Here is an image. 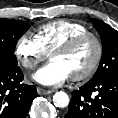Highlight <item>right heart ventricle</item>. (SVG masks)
<instances>
[{"label": "right heart ventricle", "instance_id": "right-heart-ventricle-1", "mask_svg": "<svg viewBox=\"0 0 118 118\" xmlns=\"http://www.w3.org/2000/svg\"><path fill=\"white\" fill-rule=\"evenodd\" d=\"M87 31V27L84 24L63 19L40 26L35 37L45 52L50 54L68 39Z\"/></svg>", "mask_w": 118, "mask_h": 118}]
</instances>
